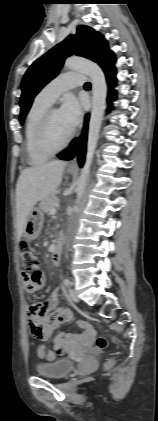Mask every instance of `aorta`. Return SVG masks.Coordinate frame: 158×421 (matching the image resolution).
<instances>
[{"mask_svg": "<svg viewBox=\"0 0 158 421\" xmlns=\"http://www.w3.org/2000/svg\"><path fill=\"white\" fill-rule=\"evenodd\" d=\"M64 67L85 73L90 77L92 83V110L88 129L86 159L76 186L77 198L74 209H77L87 185L94 152L99 139L106 104L107 85L102 69L88 59L81 57L68 58L64 63Z\"/></svg>", "mask_w": 158, "mask_h": 421, "instance_id": "aorta-1", "label": "aorta"}]
</instances>
